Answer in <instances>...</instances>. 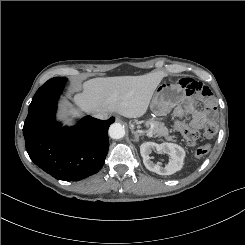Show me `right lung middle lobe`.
Instances as JSON below:
<instances>
[{
  "label": "right lung middle lobe",
  "mask_w": 245,
  "mask_h": 245,
  "mask_svg": "<svg viewBox=\"0 0 245 245\" xmlns=\"http://www.w3.org/2000/svg\"><path fill=\"white\" fill-rule=\"evenodd\" d=\"M55 78H57V79H67V78H60V77H55Z\"/></svg>",
  "instance_id": "1"
}]
</instances>
